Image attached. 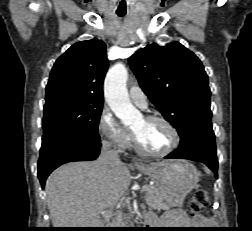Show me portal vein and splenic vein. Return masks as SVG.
Returning a JSON list of instances; mask_svg holds the SVG:
<instances>
[{
  "instance_id": "portal-vein-and-splenic-vein-1",
  "label": "portal vein and splenic vein",
  "mask_w": 252,
  "mask_h": 231,
  "mask_svg": "<svg viewBox=\"0 0 252 231\" xmlns=\"http://www.w3.org/2000/svg\"><path fill=\"white\" fill-rule=\"evenodd\" d=\"M148 189L147 185L142 187V191H146Z\"/></svg>"
}]
</instances>
